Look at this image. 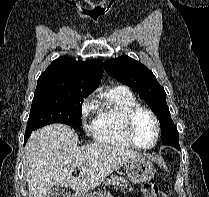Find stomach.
Wrapping results in <instances>:
<instances>
[{"instance_id": "obj_1", "label": "stomach", "mask_w": 209, "mask_h": 197, "mask_svg": "<svg viewBox=\"0 0 209 197\" xmlns=\"http://www.w3.org/2000/svg\"><path fill=\"white\" fill-rule=\"evenodd\" d=\"M126 173L129 180L135 184L150 181L155 174L153 164L145 156H137L126 164ZM78 197H112L106 191L80 193Z\"/></svg>"}]
</instances>
